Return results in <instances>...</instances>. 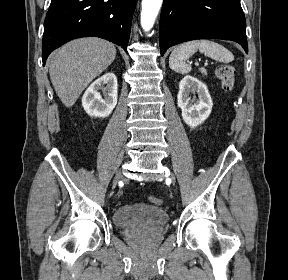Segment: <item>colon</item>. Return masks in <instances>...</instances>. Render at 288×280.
Here are the masks:
<instances>
[{
	"instance_id": "obj_1",
	"label": "colon",
	"mask_w": 288,
	"mask_h": 280,
	"mask_svg": "<svg viewBox=\"0 0 288 280\" xmlns=\"http://www.w3.org/2000/svg\"><path fill=\"white\" fill-rule=\"evenodd\" d=\"M216 75L220 79L222 88L225 91H231L234 87L235 82V72L234 68L230 65H221L216 70ZM150 202L154 205H162L163 200L158 197H149Z\"/></svg>"
}]
</instances>
